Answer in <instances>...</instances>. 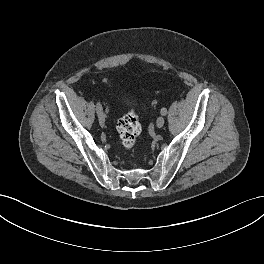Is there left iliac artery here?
<instances>
[{"instance_id": "left-iliac-artery-1", "label": "left iliac artery", "mask_w": 264, "mask_h": 264, "mask_svg": "<svg viewBox=\"0 0 264 264\" xmlns=\"http://www.w3.org/2000/svg\"><path fill=\"white\" fill-rule=\"evenodd\" d=\"M160 113H161V115H166L167 114V109L166 108H162Z\"/></svg>"}]
</instances>
